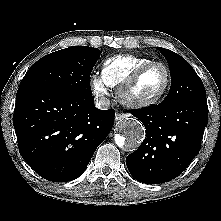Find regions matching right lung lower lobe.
<instances>
[{
  "label": "right lung lower lobe",
  "instance_id": "98d812e1",
  "mask_svg": "<svg viewBox=\"0 0 221 221\" xmlns=\"http://www.w3.org/2000/svg\"><path fill=\"white\" fill-rule=\"evenodd\" d=\"M90 94L25 86L16 95L13 124L23 159L41 177L72 181L83 174L114 124Z\"/></svg>",
  "mask_w": 221,
  "mask_h": 221
}]
</instances>
